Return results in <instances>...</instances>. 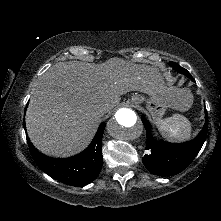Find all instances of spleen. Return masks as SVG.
<instances>
[{"instance_id": "obj_1", "label": "spleen", "mask_w": 221, "mask_h": 221, "mask_svg": "<svg viewBox=\"0 0 221 221\" xmlns=\"http://www.w3.org/2000/svg\"><path fill=\"white\" fill-rule=\"evenodd\" d=\"M183 91V90H181ZM192 103V100H190ZM161 135L168 140L184 141L191 136V124L189 120L179 114L156 121Z\"/></svg>"}]
</instances>
